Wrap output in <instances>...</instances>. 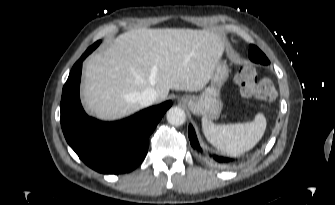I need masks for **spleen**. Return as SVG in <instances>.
<instances>
[{
  "label": "spleen",
  "instance_id": "1",
  "mask_svg": "<svg viewBox=\"0 0 335 205\" xmlns=\"http://www.w3.org/2000/svg\"><path fill=\"white\" fill-rule=\"evenodd\" d=\"M266 118L258 113L252 122L216 125L202 118V130L206 139L221 152L238 156L251 150L263 137Z\"/></svg>",
  "mask_w": 335,
  "mask_h": 205
}]
</instances>
